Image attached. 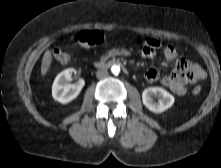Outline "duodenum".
<instances>
[{
  "instance_id": "1",
  "label": "duodenum",
  "mask_w": 221,
  "mask_h": 168,
  "mask_svg": "<svg viewBox=\"0 0 221 168\" xmlns=\"http://www.w3.org/2000/svg\"><path fill=\"white\" fill-rule=\"evenodd\" d=\"M94 65L98 69H105V68H109V67L114 66V65L123 66L122 63L120 61H117V60H109V61L98 60L94 63Z\"/></svg>"
}]
</instances>
